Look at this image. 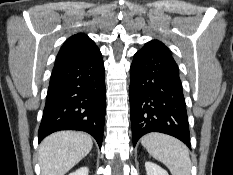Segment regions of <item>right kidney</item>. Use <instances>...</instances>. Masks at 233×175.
I'll list each match as a JSON object with an SVG mask.
<instances>
[{"mask_svg": "<svg viewBox=\"0 0 233 175\" xmlns=\"http://www.w3.org/2000/svg\"><path fill=\"white\" fill-rule=\"evenodd\" d=\"M89 169L87 167H81L75 172L70 173L69 175H88Z\"/></svg>", "mask_w": 233, "mask_h": 175, "instance_id": "1", "label": "right kidney"}]
</instances>
